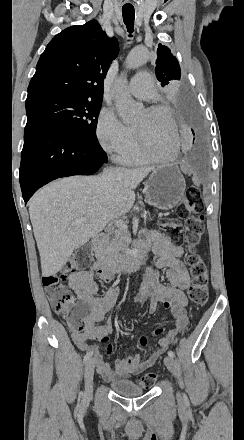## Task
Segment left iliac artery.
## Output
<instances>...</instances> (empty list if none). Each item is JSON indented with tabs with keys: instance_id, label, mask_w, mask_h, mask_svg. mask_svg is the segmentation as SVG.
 <instances>
[{
	"instance_id": "left-iliac-artery-1",
	"label": "left iliac artery",
	"mask_w": 244,
	"mask_h": 440,
	"mask_svg": "<svg viewBox=\"0 0 244 440\" xmlns=\"http://www.w3.org/2000/svg\"><path fill=\"white\" fill-rule=\"evenodd\" d=\"M168 356H170V357H174V356H175V353H174L172 350H169V351H168Z\"/></svg>"
}]
</instances>
